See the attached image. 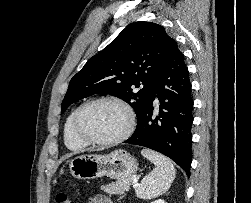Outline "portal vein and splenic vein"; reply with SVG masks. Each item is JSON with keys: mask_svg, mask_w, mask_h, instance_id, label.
I'll list each match as a JSON object with an SVG mask.
<instances>
[{"mask_svg": "<svg viewBox=\"0 0 251 203\" xmlns=\"http://www.w3.org/2000/svg\"><path fill=\"white\" fill-rule=\"evenodd\" d=\"M138 182L137 178H133V183L136 184Z\"/></svg>", "mask_w": 251, "mask_h": 203, "instance_id": "18ae733b", "label": "portal vein and splenic vein"}]
</instances>
